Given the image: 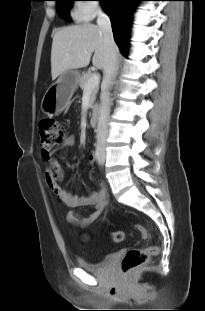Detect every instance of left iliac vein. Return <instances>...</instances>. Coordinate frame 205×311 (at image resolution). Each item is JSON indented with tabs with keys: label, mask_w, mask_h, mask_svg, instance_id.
Instances as JSON below:
<instances>
[{
	"label": "left iliac vein",
	"mask_w": 205,
	"mask_h": 311,
	"mask_svg": "<svg viewBox=\"0 0 205 311\" xmlns=\"http://www.w3.org/2000/svg\"><path fill=\"white\" fill-rule=\"evenodd\" d=\"M105 160V153H104V147L101 146V152H100V156H99V163L103 164Z\"/></svg>",
	"instance_id": "1"
}]
</instances>
